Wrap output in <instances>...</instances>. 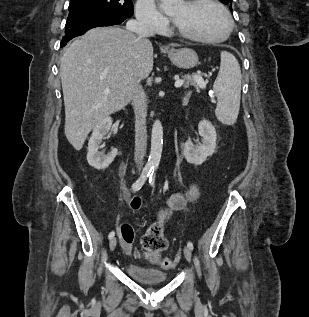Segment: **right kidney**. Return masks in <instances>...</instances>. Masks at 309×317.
<instances>
[{
    "label": "right kidney",
    "instance_id": "obj_1",
    "mask_svg": "<svg viewBox=\"0 0 309 317\" xmlns=\"http://www.w3.org/2000/svg\"><path fill=\"white\" fill-rule=\"evenodd\" d=\"M112 125V119L106 117L102 119L93 129L88 142L87 161L90 166L96 170L106 169L116 157L118 150L112 149L108 154L99 151L103 137L109 132Z\"/></svg>",
    "mask_w": 309,
    "mask_h": 317
}]
</instances>
